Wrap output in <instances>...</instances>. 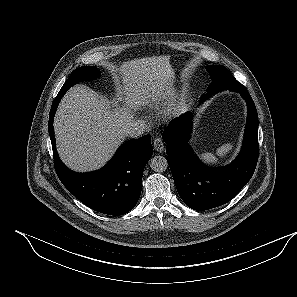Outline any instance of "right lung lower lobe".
I'll use <instances>...</instances> for the list:
<instances>
[{
    "label": "right lung lower lobe",
    "mask_w": 297,
    "mask_h": 297,
    "mask_svg": "<svg viewBox=\"0 0 297 297\" xmlns=\"http://www.w3.org/2000/svg\"><path fill=\"white\" fill-rule=\"evenodd\" d=\"M64 94L60 90L54 99L48 123L54 166L60 181L70 193L97 212L113 216L129 212L140 197L143 170L153 154L151 137L143 136L124 143L100 170L74 172L59 159L55 146L53 119Z\"/></svg>",
    "instance_id": "obj_1"
}]
</instances>
